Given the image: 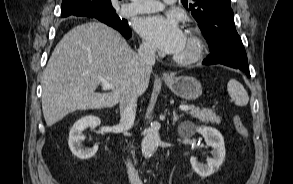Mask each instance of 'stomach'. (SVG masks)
<instances>
[{"instance_id":"obj_1","label":"stomach","mask_w":293,"mask_h":184,"mask_svg":"<svg viewBox=\"0 0 293 184\" xmlns=\"http://www.w3.org/2000/svg\"><path fill=\"white\" fill-rule=\"evenodd\" d=\"M165 83L175 95L186 100H195L202 94L201 83L194 77H173Z\"/></svg>"}]
</instances>
